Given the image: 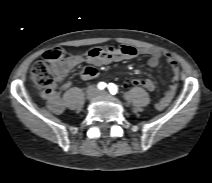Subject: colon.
I'll use <instances>...</instances> for the list:
<instances>
[{
    "instance_id": "1",
    "label": "colon",
    "mask_w": 212,
    "mask_h": 183,
    "mask_svg": "<svg viewBox=\"0 0 212 183\" xmlns=\"http://www.w3.org/2000/svg\"><path fill=\"white\" fill-rule=\"evenodd\" d=\"M66 51L63 48L56 47L48 50L44 54V60L36 62L30 72L31 80L41 88H47L54 84L55 65L65 58ZM126 88H145L148 90L150 81L142 78L130 79L125 82Z\"/></svg>"
}]
</instances>
